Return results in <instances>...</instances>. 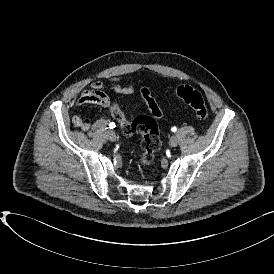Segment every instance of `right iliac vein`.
<instances>
[{
	"label": "right iliac vein",
	"instance_id": "1",
	"mask_svg": "<svg viewBox=\"0 0 274 274\" xmlns=\"http://www.w3.org/2000/svg\"><path fill=\"white\" fill-rule=\"evenodd\" d=\"M108 139L111 141V142H114L116 140V134L114 131H109L108 132Z\"/></svg>",
	"mask_w": 274,
	"mask_h": 274
}]
</instances>
